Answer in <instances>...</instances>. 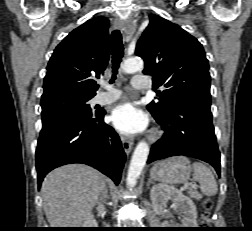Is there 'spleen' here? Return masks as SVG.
Masks as SVG:
<instances>
[{
	"instance_id": "1",
	"label": "spleen",
	"mask_w": 252,
	"mask_h": 231,
	"mask_svg": "<svg viewBox=\"0 0 252 231\" xmlns=\"http://www.w3.org/2000/svg\"><path fill=\"white\" fill-rule=\"evenodd\" d=\"M193 178L200 184L201 192L206 196L216 195L218 186L211 170L202 163L193 164Z\"/></svg>"
}]
</instances>
